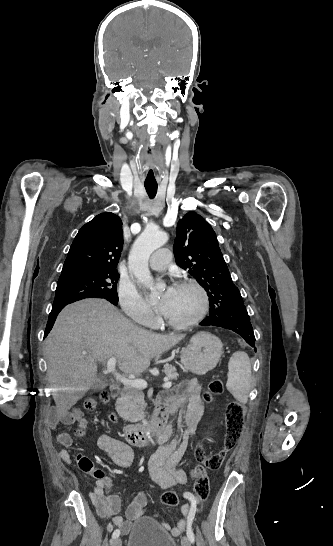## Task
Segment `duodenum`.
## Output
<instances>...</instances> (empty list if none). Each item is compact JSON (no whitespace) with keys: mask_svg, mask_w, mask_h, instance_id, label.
<instances>
[{"mask_svg":"<svg viewBox=\"0 0 333 546\" xmlns=\"http://www.w3.org/2000/svg\"><path fill=\"white\" fill-rule=\"evenodd\" d=\"M111 397L113 399L118 398L119 388L117 386H111ZM109 418L112 422L117 421V416L114 413L109 414ZM167 430V420L164 416L158 415L151 426L146 425H131L127 426L123 430V437L126 442L131 445L140 446L145 443L159 440L162 438Z\"/></svg>","mask_w":333,"mask_h":546,"instance_id":"1","label":"duodenum"}]
</instances>
